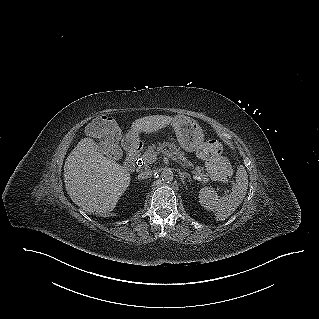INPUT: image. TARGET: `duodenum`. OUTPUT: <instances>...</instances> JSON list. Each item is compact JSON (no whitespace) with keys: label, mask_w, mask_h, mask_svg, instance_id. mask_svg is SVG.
I'll use <instances>...</instances> for the list:
<instances>
[{"label":"duodenum","mask_w":319,"mask_h":319,"mask_svg":"<svg viewBox=\"0 0 319 319\" xmlns=\"http://www.w3.org/2000/svg\"><path fill=\"white\" fill-rule=\"evenodd\" d=\"M123 147L126 151L125 169L127 171H134L141 164V146L136 139L125 138L123 140Z\"/></svg>","instance_id":"duodenum-1"}]
</instances>
